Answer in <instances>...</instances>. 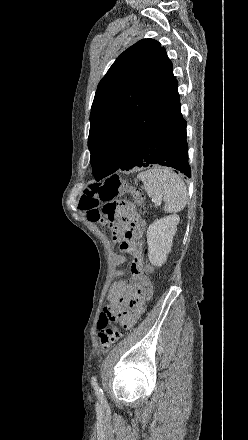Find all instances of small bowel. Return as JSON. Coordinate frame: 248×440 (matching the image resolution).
<instances>
[{
	"label": "small bowel",
	"mask_w": 248,
	"mask_h": 440,
	"mask_svg": "<svg viewBox=\"0 0 248 440\" xmlns=\"http://www.w3.org/2000/svg\"><path fill=\"white\" fill-rule=\"evenodd\" d=\"M123 208L124 222L115 223L113 232L121 237V250L133 256L132 276L128 282L118 281L113 285L108 295L107 309L117 313L119 321L123 323L124 331H131L144 312L147 301L151 298L152 287L148 278L143 274L141 238L144 225L136 218L130 203L124 202ZM114 261L116 264H122L125 257L116 256Z\"/></svg>",
	"instance_id": "c3829d8e"
}]
</instances>
